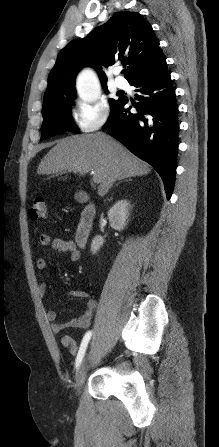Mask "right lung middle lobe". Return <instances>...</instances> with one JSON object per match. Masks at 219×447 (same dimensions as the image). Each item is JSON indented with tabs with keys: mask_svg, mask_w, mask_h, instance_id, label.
Masks as SVG:
<instances>
[{
	"mask_svg": "<svg viewBox=\"0 0 219 447\" xmlns=\"http://www.w3.org/2000/svg\"><path fill=\"white\" fill-rule=\"evenodd\" d=\"M103 88L108 93L107 86L104 85ZM75 95H59L54 97H49L43 100L42 116L43 123L41 127V139H46L50 135H53L62 131H74L77 127L71 120V105L72 100ZM122 99L120 97L118 100L111 99L110 106L111 109Z\"/></svg>",
	"mask_w": 219,
	"mask_h": 447,
	"instance_id": "right-lung-middle-lobe-1",
	"label": "right lung middle lobe"
}]
</instances>
